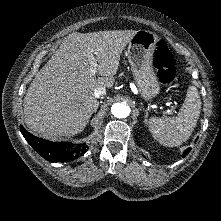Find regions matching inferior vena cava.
I'll use <instances>...</instances> for the list:
<instances>
[{
    "label": "inferior vena cava",
    "mask_w": 221,
    "mask_h": 221,
    "mask_svg": "<svg viewBox=\"0 0 221 221\" xmlns=\"http://www.w3.org/2000/svg\"><path fill=\"white\" fill-rule=\"evenodd\" d=\"M105 94H106V89L104 87H97L94 90V96L97 98H99L100 96L105 95Z\"/></svg>",
    "instance_id": "602c4592"
}]
</instances>
